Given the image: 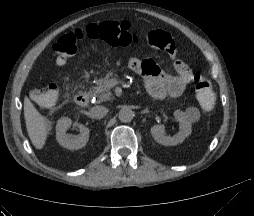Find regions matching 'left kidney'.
<instances>
[{
  "mask_svg": "<svg viewBox=\"0 0 254 216\" xmlns=\"http://www.w3.org/2000/svg\"><path fill=\"white\" fill-rule=\"evenodd\" d=\"M173 115L175 119L178 120L180 123L179 124L180 131L173 137L165 135L164 125H154L150 129L154 140L161 145L175 146L179 143H182L185 140V138L188 137L192 132L191 122L188 121L183 111L176 110L174 111Z\"/></svg>",
  "mask_w": 254,
  "mask_h": 216,
  "instance_id": "left-kidney-1",
  "label": "left kidney"
}]
</instances>
